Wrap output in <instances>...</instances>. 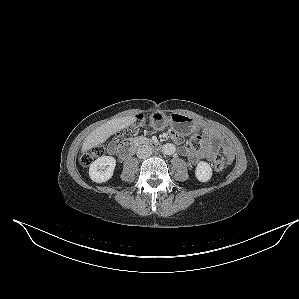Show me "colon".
<instances>
[{
  "instance_id": "5ec220e1",
  "label": "colon",
  "mask_w": 299,
  "mask_h": 299,
  "mask_svg": "<svg viewBox=\"0 0 299 299\" xmlns=\"http://www.w3.org/2000/svg\"><path fill=\"white\" fill-rule=\"evenodd\" d=\"M141 123H142V119L139 118L136 122V126L140 125ZM190 146L194 149H200L202 147L201 136H199V135L193 136L190 140ZM103 153H104L103 147H94V148L90 149L89 151L85 152L81 156V163L84 166H88L94 161V159L101 156ZM213 167H214L215 171H217V172L223 171L226 167L225 159L218 153L214 157Z\"/></svg>"
}]
</instances>
